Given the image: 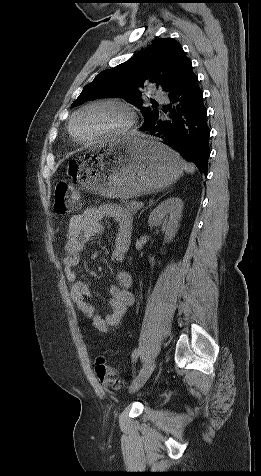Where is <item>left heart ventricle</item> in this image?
I'll return each instance as SVG.
<instances>
[{
	"instance_id": "b2bd125f",
	"label": "left heart ventricle",
	"mask_w": 261,
	"mask_h": 476,
	"mask_svg": "<svg viewBox=\"0 0 261 476\" xmlns=\"http://www.w3.org/2000/svg\"><path fill=\"white\" fill-rule=\"evenodd\" d=\"M125 119V114L116 107L107 105L93 107L76 118L74 133L80 140H90L118 128Z\"/></svg>"
}]
</instances>
